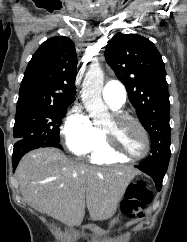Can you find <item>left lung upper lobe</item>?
I'll list each match as a JSON object with an SVG mask.
<instances>
[{"instance_id": "obj_1", "label": "left lung upper lobe", "mask_w": 187, "mask_h": 242, "mask_svg": "<svg viewBox=\"0 0 187 242\" xmlns=\"http://www.w3.org/2000/svg\"><path fill=\"white\" fill-rule=\"evenodd\" d=\"M105 58L125 85L129 100L151 138V152L140 164L168 168L171 156L170 102L159 51L147 38L118 33L109 41Z\"/></svg>"}]
</instances>
